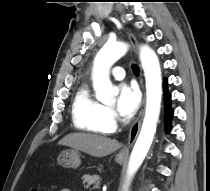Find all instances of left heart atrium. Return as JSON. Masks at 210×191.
<instances>
[{
  "instance_id": "obj_1",
  "label": "left heart atrium",
  "mask_w": 210,
  "mask_h": 191,
  "mask_svg": "<svg viewBox=\"0 0 210 191\" xmlns=\"http://www.w3.org/2000/svg\"><path fill=\"white\" fill-rule=\"evenodd\" d=\"M140 100V92L134 85L120 84L117 109L121 116L131 117L134 115L140 105Z\"/></svg>"
}]
</instances>
